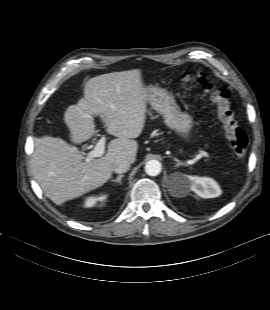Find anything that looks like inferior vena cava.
Instances as JSON below:
<instances>
[{"instance_id":"obj_1","label":"inferior vena cava","mask_w":270,"mask_h":310,"mask_svg":"<svg viewBox=\"0 0 270 310\" xmlns=\"http://www.w3.org/2000/svg\"><path fill=\"white\" fill-rule=\"evenodd\" d=\"M130 162L127 160H118L116 161L113 166H112V170L115 173H125L130 169Z\"/></svg>"}]
</instances>
